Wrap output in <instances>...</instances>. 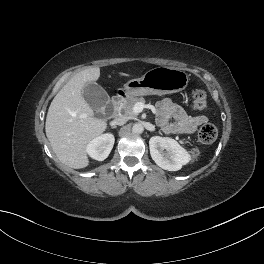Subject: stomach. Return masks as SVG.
Returning a JSON list of instances; mask_svg holds the SVG:
<instances>
[{
  "instance_id": "stomach-1",
  "label": "stomach",
  "mask_w": 264,
  "mask_h": 264,
  "mask_svg": "<svg viewBox=\"0 0 264 264\" xmlns=\"http://www.w3.org/2000/svg\"><path fill=\"white\" fill-rule=\"evenodd\" d=\"M186 72L166 66L147 71L141 78L132 79L124 85L128 97L144 95H164L183 91L189 82Z\"/></svg>"
}]
</instances>
